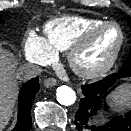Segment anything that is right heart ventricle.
Segmentation results:
<instances>
[{
    "instance_id": "e07e8e85",
    "label": "right heart ventricle",
    "mask_w": 131,
    "mask_h": 131,
    "mask_svg": "<svg viewBox=\"0 0 131 131\" xmlns=\"http://www.w3.org/2000/svg\"><path fill=\"white\" fill-rule=\"evenodd\" d=\"M101 22L99 18L78 15L57 17L45 23L44 39L55 53L66 52L87 29Z\"/></svg>"
}]
</instances>
